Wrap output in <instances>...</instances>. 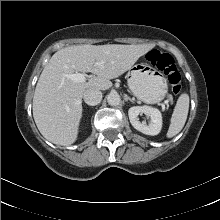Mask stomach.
I'll use <instances>...</instances> for the list:
<instances>
[{
    "mask_svg": "<svg viewBox=\"0 0 220 220\" xmlns=\"http://www.w3.org/2000/svg\"><path fill=\"white\" fill-rule=\"evenodd\" d=\"M130 70L128 86L138 99L154 104L165 98L168 92V83L158 70L147 64L134 65Z\"/></svg>",
    "mask_w": 220,
    "mask_h": 220,
    "instance_id": "1",
    "label": "stomach"
}]
</instances>
